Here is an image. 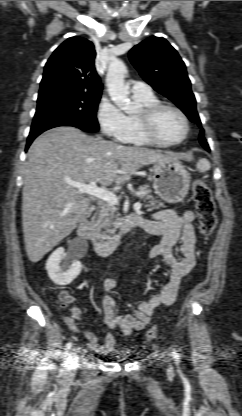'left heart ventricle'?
Instances as JSON below:
<instances>
[{"label":"left heart ventricle","instance_id":"left-heart-ventricle-1","mask_svg":"<svg viewBox=\"0 0 242 416\" xmlns=\"http://www.w3.org/2000/svg\"><path fill=\"white\" fill-rule=\"evenodd\" d=\"M155 129L162 139L174 141L183 135L184 124L177 113L164 110L156 118Z\"/></svg>","mask_w":242,"mask_h":416}]
</instances>
